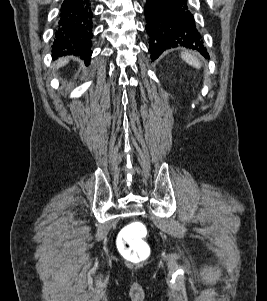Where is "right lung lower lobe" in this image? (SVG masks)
Wrapping results in <instances>:
<instances>
[{
  "mask_svg": "<svg viewBox=\"0 0 267 301\" xmlns=\"http://www.w3.org/2000/svg\"><path fill=\"white\" fill-rule=\"evenodd\" d=\"M92 8L90 0H64L52 45L54 59L80 56L89 64L92 51Z\"/></svg>",
  "mask_w": 267,
  "mask_h": 301,
  "instance_id": "98d812e1",
  "label": "right lung lower lobe"
}]
</instances>
